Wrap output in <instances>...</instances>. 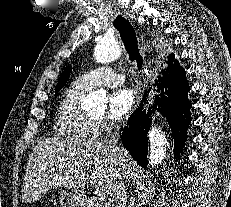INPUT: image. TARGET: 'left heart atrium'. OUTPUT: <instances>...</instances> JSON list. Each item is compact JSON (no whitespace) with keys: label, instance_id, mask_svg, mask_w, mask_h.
I'll return each mask as SVG.
<instances>
[{"label":"left heart atrium","instance_id":"obj_1","mask_svg":"<svg viewBox=\"0 0 231 207\" xmlns=\"http://www.w3.org/2000/svg\"><path fill=\"white\" fill-rule=\"evenodd\" d=\"M134 102L135 95L131 89L120 88L115 90L109 97V118L121 119L131 110Z\"/></svg>","mask_w":231,"mask_h":207}]
</instances>
